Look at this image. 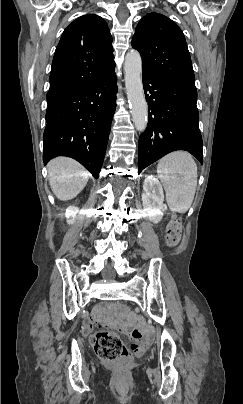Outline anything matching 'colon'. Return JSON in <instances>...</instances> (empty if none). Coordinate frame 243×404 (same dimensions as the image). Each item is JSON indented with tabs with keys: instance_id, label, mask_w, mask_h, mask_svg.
<instances>
[{
	"instance_id": "5ec220e1",
	"label": "colon",
	"mask_w": 243,
	"mask_h": 404,
	"mask_svg": "<svg viewBox=\"0 0 243 404\" xmlns=\"http://www.w3.org/2000/svg\"><path fill=\"white\" fill-rule=\"evenodd\" d=\"M181 234V223L179 220H173L167 230L166 243L168 246H175ZM108 308L120 314H126L127 308L118 302L108 304ZM129 345H127L119 335L109 331H99L93 338L96 354L105 361H116L128 358L131 353L141 354L146 351L150 345L148 337L144 336L140 330L133 329L128 334Z\"/></svg>"
}]
</instances>
